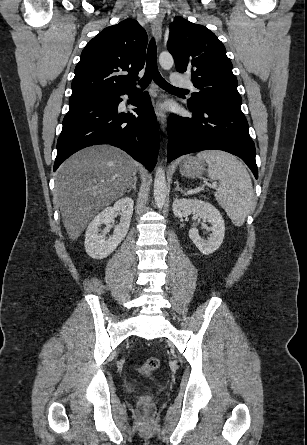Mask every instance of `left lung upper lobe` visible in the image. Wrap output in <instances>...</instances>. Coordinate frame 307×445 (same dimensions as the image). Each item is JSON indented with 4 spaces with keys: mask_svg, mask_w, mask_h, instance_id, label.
<instances>
[{
    "mask_svg": "<svg viewBox=\"0 0 307 445\" xmlns=\"http://www.w3.org/2000/svg\"><path fill=\"white\" fill-rule=\"evenodd\" d=\"M178 72H191L199 92L188 99V107H225L241 111V96L232 63L223 43L205 26L175 17L167 44Z\"/></svg>",
    "mask_w": 307,
    "mask_h": 445,
    "instance_id": "obj_1",
    "label": "left lung upper lobe"
}]
</instances>
